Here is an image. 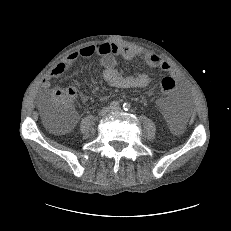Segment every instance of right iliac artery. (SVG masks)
<instances>
[{
    "label": "right iliac artery",
    "mask_w": 231,
    "mask_h": 231,
    "mask_svg": "<svg viewBox=\"0 0 231 231\" xmlns=\"http://www.w3.org/2000/svg\"><path fill=\"white\" fill-rule=\"evenodd\" d=\"M119 106V103L117 101H113L110 103V108H116Z\"/></svg>",
    "instance_id": "1"
}]
</instances>
